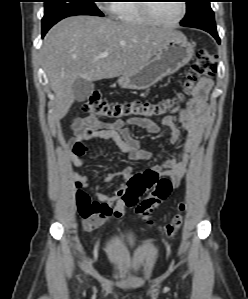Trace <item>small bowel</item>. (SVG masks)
Here are the masks:
<instances>
[{
	"label": "small bowel",
	"instance_id": "small-bowel-1",
	"mask_svg": "<svg viewBox=\"0 0 248 299\" xmlns=\"http://www.w3.org/2000/svg\"><path fill=\"white\" fill-rule=\"evenodd\" d=\"M211 88L212 81L202 78L195 87L193 97L188 101L187 106L185 108H172V112L179 114V124H175L170 117H165L161 121V125L170 131V142L174 145H180V148L173 152L172 158L150 169L158 172L160 176L168 177L173 188H177L185 176L188 155L193 156L198 151L201 131L205 121V98ZM130 127L143 128L151 134H156L159 131L158 124L143 118H129L106 124L100 123L93 117L77 120L72 126L74 136L70 141L69 158L73 165L76 167L83 165V157L86 154L84 143L91 140L113 141L122 152L128 154L132 161L153 159V154L137 146L130 135ZM182 134L185 135L183 141ZM158 157H161V155H158ZM73 176L79 189H93L97 197L96 200H91L90 203L94 214L89 217H81L86 230H95L104 225L109 218H119L124 214L126 206L120 198V193L125 185L117 188L114 194L107 195L92 187L87 175L74 173ZM103 177L108 182L115 179L126 181L130 177V170L125 169L116 173H108ZM78 192L82 191L78 190Z\"/></svg>",
	"mask_w": 248,
	"mask_h": 299
}]
</instances>
